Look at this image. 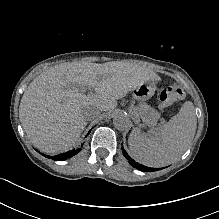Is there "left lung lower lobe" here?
Instances as JSON below:
<instances>
[{"label": "left lung lower lobe", "mask_w": 219, "mask_h": 219, "mask_svg": "<svg viewBox=\"0 0 219 219\" xmlns=\"http://www.w3.org/2000/svg\"><path fill=\"white\" fill-rule=\"evenodd\" d=\"M122 151H123V155L129 160V163L134 167V168H137L141 171H144V172H151V171H157L158 169H154V168H150V167H147V166H144L142 164H139L137 162H135L133 159L130 158V156L127 154V152L122 148Z\"/></svg>", "instance_id": "1"}]
</instances>
